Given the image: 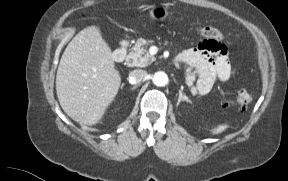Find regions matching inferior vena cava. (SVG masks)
Listing matches in <instances>:
<instances>
[{
  "mask_svg": "<svg viewBox=\"0 0 288 181\" xmlns=\"http://www.w3.org/2000/svg\"><path fill=\"white\" fill-rule=\"evenodd\" d=\"M146 76V71L142 69H135L129 73L128 80L131 84H137Z\"/></svg>",
  "mask_w": 288,
  "mask_h": 181,
  "instance_id": "1",
  "label": "inferior vena cava"
}]
</instances>
